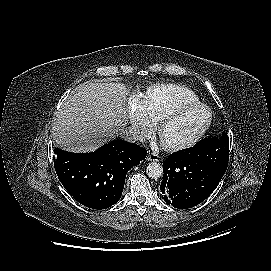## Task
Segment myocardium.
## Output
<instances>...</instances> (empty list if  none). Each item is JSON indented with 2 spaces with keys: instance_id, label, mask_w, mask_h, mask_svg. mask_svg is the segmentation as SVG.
Wrapping results in <instances>:
<instances>
[{
  "instance_id": "myocardium-1",
  "label": "myocardium",
  "mask_w": 271,
  "mask_h": 271,
  "mask_svg": "<svg viewBox=\"0 0 271 271\" xmlns=\"http://www.w3.org/2000/svg\"><path fill=\"white\" fill-rule=\"evenodd\" d=\"M197 108H203L208 113V118H207L206 122L202 125V127L193 136H191L189 139H187L183 142L174 143V144L165 143L162 139V131H163L165 125L168 122H170L172 119L176 118L177 116H180L181 114H184L188 111H191V110H194ZM212 121H213V112L208 105H206L200 101L194 102V103H187V104L177 106V107L163 113L158 118V120L156 122L157 133L160 138L162 146L166 150H169L172 152H177V151L185 150L187 148L194 146L208 131V129L210 128V126L212 124Z\"/></svg>"
}]
</instances>
